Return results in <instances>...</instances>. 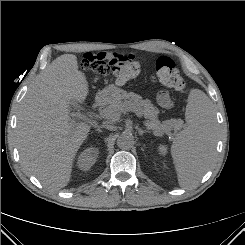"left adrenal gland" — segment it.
Listing matches in <instances>:
<instances>
[{
    "mask_svg": "<svg viewBox=\"0 0 245 245\" xmlns=\"http://www.w3.org/2000/svg\"><path fill=\"white\" fill-rule=\"evenodd\" d=\"M138 133H139L140 136H142L145 133H150V131L138 129Z\"/></svg>",
    "mask_w": 245,
    "mask_h": 245,
    "instance_id": "1",
    "label": "left adrenal gland"
}]
</instances>
